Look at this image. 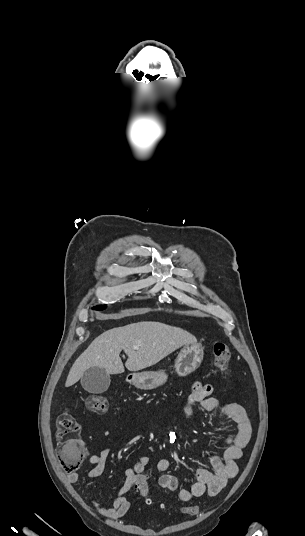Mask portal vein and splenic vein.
I'll return each instance as SVG.
<instances>
[{
	"mask_svg": "<svg viewBox=\"0 0 305 536\" xmlns=\"http://www.w3.org/2000/svg\"><path fill=\"white\" fill-rule=\"evenodd\" d=\"M133 350H139V346H135V348H133Z\"/></svg>",
	"mask_w": 305,
	"mask_h": 536,
	"instance_id": "portal-vein-and-splenic-vein-1",
	"label": "portal vein and splenic vein"
}]
</instances>
